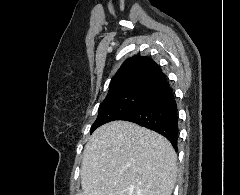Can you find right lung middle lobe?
Wrapping results in <instances>:
<instances>
[{
	"instance_id": "obj_1",
	"label": "right lung middle lobe",
	"mask_w": 240,
	"mask_h": 195,
	"mask_svg": "<svg viewBox=\"0 0 240 195\" xmlns=\"http://www.w3.org/2000/svg\"><path fill=\"white\" fill-rule=\"evenodd\" d=\"M146 93H119L108 95L102 102L98 117L92 125V131L99 126L118 120L142 103Z\"/></svg>"
}]
</instances>
